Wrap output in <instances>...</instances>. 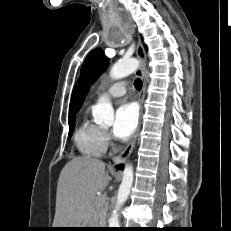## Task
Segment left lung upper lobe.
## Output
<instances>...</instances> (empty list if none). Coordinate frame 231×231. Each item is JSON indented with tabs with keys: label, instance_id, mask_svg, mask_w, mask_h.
I'll return each instance as SVG.
<instances>
[{
	"label": "left lung upper lobe",
	"instance_id": "obj_1",
	"mask_svg": "<svg viewBox=\"0 0 231 231\" xmlns=\"http://www.w3.org/2000/svg\"><path fill=\"white\" fill-rule=\"evenodd\" d=\"M108 63V58L105 56L101 48L92 50L85 59L81 69V76L77 94V109L81 108L82 103L90 89L91 84L97 79Z\"/></svg>",
	"mask_w": 231,
	"mask_h": 231
}]
</instances>
